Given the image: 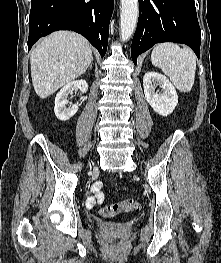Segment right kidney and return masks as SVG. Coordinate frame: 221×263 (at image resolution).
<instances>
[{
	"mask_svg": "<svg viewBox=\"0 0 221 263\" xmlns=\"http://www.w3.org/2000/svg\"><path fill=\"white\" fill-rule=\"evenodd\" d=\"M80 89L83 93L88 90V83L85 80L72 81L66 84L56 95L54 112L61 121L69 120L78 111L76 104L67 107L68 96L74 90Z\"/></svg>",
	"mask_w": 221,
	"mask_h": 263,
	"instance_id": "1",
	"label": "right kidney"
}]
</instances>
